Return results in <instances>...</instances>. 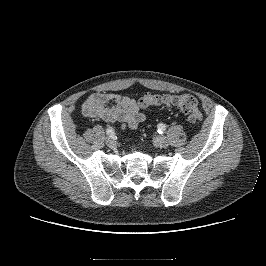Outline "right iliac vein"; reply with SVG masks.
Masks as SVG:
<instances>
[{
	"label": "right iliac vein",
	"mask_w": 266,
	"mask_h": 266,
	"mask_svg": "<svg viewBox=\"0 0 266 266\" xmlns=\"http://www.w3.org/2000/svg\"><path fill=\"white\" fill-rule=\"evenodd\" d=\"M106 144H107V146H108L109 148H112V149H113V148L116 147L117 142H116V140H115L114 138L109 137V138L106 139Z\"/></svg>",
	"instance_id": "obj_1"
}]
</instances>
